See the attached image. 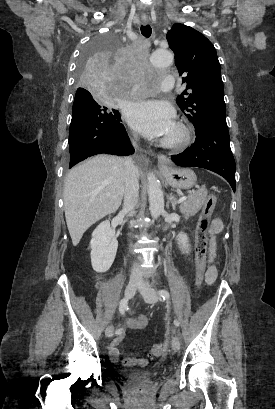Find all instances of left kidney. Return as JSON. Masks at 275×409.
I'll return each mask as SVG.
<instances>
[{
    "instance_id": "5707ae66",
    "label": "left kidney",
    "mask_w": 275,
    "mask_h": 409,
    "mask_svg": "<svg viewBox=\"0 0 275 409\" xmlns=\"http://www.w3.org/2000/svg\"><path fill=\"white\" fill-rule=\"evenodd\" d=\"M177 241L178 245H180V249H185V247H188L187 243H189V241L186 233H180V235H178Z\"/></svg>"
}]
</instances>
